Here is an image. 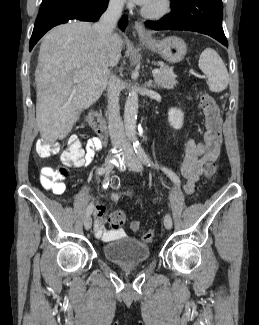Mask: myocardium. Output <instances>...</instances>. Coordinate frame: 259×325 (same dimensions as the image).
Instances as JSON below:
<instances>
[{"label": "myocardium", "mask_w": 259, "mask_h": 325, "mask_svg": "<svg viewBox=\"0 0 259 325\" xmlns=\"http://www.w3.org/2000/svg\"><path fill=\"white\" fill-rule=\"evenodd\" d=\"M172 9L171 0H156L155 6H145L142 13L149 19H161L167 16Z\"/></svg>", "instance_id": "obj_1"}]
</instances>
